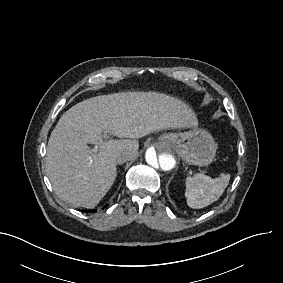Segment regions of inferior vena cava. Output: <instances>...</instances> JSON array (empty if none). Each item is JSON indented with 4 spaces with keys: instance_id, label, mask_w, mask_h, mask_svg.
Instances as JSON below:
<instances>
[{
    "instance_id": "inferior-vena-cava-1",
    "label": "inferior vena cava",
    "mask_w": 283,
    "mask_h": 283,
    "mask_svg": "<svg viewBox=\"0 0 283 283\" xmlns=\"http://www.w3.org/2000/svg\"><path fill=\"white\" fill-rule=\"evenodd\" d=\"M136 155V151L133 149H120L115 154V161L118 164H123L128 160H131Z\"/></svg>"
}]
</instances>
